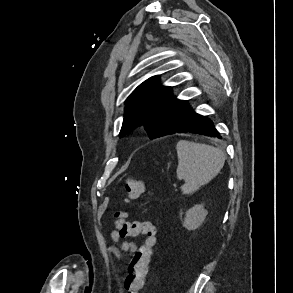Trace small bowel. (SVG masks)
I'll return each instance as SVG.
<instances>
[{
    "label": "small bowel",
    "mask_w": 293,
    "mask_h": 293,
    "mask_svg": "<svg viewBox=\"0 0 293 293\" xmlns=\"http://www.w3.org/2000/svg\"><path fill=\"white\" fill-rule=\"evenodd\" d=\"M109 237L113 242L119 244L121 247V250L127 254H131L136 250V244L122 237L118 231H115V230L111 231L109 233ZM109 252L117 260L122 261L124 259L123 255L114 247H111L109 249Z\"/></svg>",
    "instance_id": "obj_1"
}]
</instances>
